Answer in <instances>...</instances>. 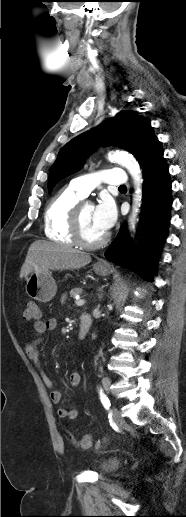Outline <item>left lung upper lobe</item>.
I'll return each mask as SVG.
<instances>
[{
    "label": "left lung upper lobe",
    "mask_w": 186,
    "mask_h": 517,
    "mask_svg": "<svg viewBox=\"0 0 186 517\" xmlns=\"http://www.w3.org/2000/svg\"><path fill=\"white\" fill-rule=\"evenodd\" d=\"M156 141L147 118L133 111H121L109 123L73 138L60 150L50 169L48 190L51 191L58 180L79 169L88 153L99 145L122 146L139 161Z\"/></svg>",
    "instance_id": "1"
}]
</instances>
